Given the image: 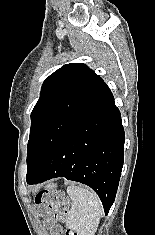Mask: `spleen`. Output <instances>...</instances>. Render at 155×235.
<instances>
[{
    "mask_svg": "<svg viewBox=\"0 0 155 235\" xmlns=\"http://www.w3.org/2000/svg\"><path fill=\"white\" fill-rule=\"evenodd\" d=\"M67 193L72 200L66 218V227L75 230L77 235H95L103 206L98 195L89 188L69 186Z\"/></svg>",
    "mask_w": 155,
    "mask_h": 235,
    "instance_id": "spleen-1",
    "label": "spleen"
}]
</instances>
